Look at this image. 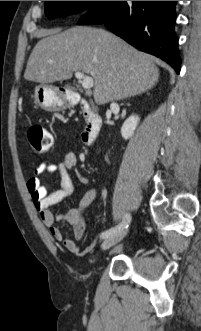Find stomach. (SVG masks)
<instances>
[{
    "label": "stomach",
    "mask_w": 201,
    "mask_h": 331,
    "mask_svg": "<svg viewBox=\"0 0 201 331\" xmlns=\"http://www.w3.org/2000/svg\"><path fill=\"white\" fill-rule=\"evenodd\" d=\"M32 96L35 103L47 111H57L66 107V101L48 85L36 86Z\"/></svg>",
    "instance_id": "0dacf381"
}]
</instances>
